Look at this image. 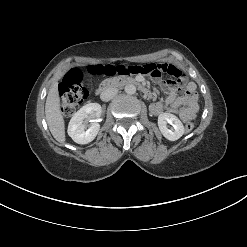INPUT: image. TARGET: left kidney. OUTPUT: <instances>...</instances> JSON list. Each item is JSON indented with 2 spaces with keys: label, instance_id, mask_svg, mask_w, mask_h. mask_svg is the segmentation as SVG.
<instances>
[{
  "label": "left kidney",
  "instance_id": "obj_1",
  "mask_svg": "<svg viewBox=\"0 0 247 247\" xmlns=\"http://www.w3.org/2000/svg\"><path fill=\"white\" fill-rule=\"evenodd\" d=\"M167 123L172 124L174 130L168 129ZM158 126L163 136L170 141L178 140L184 134L182 122L170 113H162L158 116Z\"/></svg>",
  "mask_w": 247,
  "mask_h": 247
}]
</instances>
